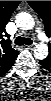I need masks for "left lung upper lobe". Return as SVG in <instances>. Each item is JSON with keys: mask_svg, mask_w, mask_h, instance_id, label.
I'll return each mask as SVG.
<instances>
[{"mask_svg": "<svg viewBox=\"0 0 51 101\" xmlns=\"http://www.w3.org/2000/svg\"><path fill=\"white\" fill-rule=\"evenodd\" d=\"M29 5L43 19L46 34L51 35V2L50 1H28Z\"/></svg>", "mask_w": 51, "mask_h": 101, "instance_id": "5c2ea615", "label": "left lung upper lobe"}]
</instances>
